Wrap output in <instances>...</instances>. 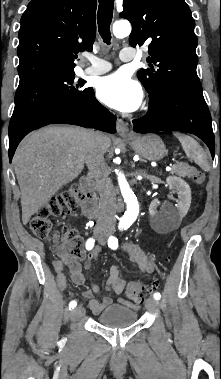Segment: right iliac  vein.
I'll return each mask as SVG.
<instances>
[{
	"label": "right iliac vein",
	"instance_id": "1",
	"mask_svg": "<svg viewBox=\"0 0 221 379\" xmlns=\"http://www.w3.org/2000/svg\"><path fill=\"white\" fill-rule=\"evenodd\" d=\"M84 314V308L82 306H78L75 309H73L71 313V320L75 321L78 318L82 317Z\"/></svg>",
	"mask_w": 221,
	"mask_h": 379
}]
</instances>
